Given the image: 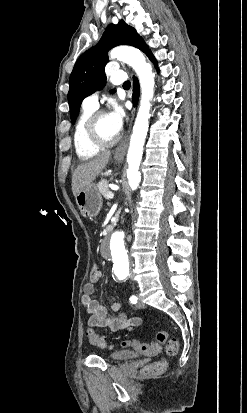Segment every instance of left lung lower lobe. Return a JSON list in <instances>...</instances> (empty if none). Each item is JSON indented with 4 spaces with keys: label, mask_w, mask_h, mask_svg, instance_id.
<instances>
[{
    "label": "left lung lower lobe",
    "mask_w": 247,
    "mask_h": 413,
    "mask_svg": "<svg viewBox=\"0 0 247 413\" xmlns=\"http://www.w3.org/2000/svg\"><path fill=\"white\" fill-rule=\"evenodd\" d=\"M148 57L155 64V66L157 68V63H156V60H155L153 54L152 53L149 54ZM133 90H134L133 102H134V104H136V100H137L138 93H139V83H138V80L135 77H134V80H133Z\"/></svg>",
    "instance_id": "left-lung-lower-lobe-1"
}]
</instances>
